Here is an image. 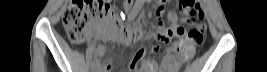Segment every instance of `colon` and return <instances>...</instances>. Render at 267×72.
<instances>
[{
    "label": "colon",
    "instance_id": "5ec220e1",
    "mask_svg": "<svg viewBox=\"0 0 267 72\" xmlns=\"http://www.w3.org/2000/svg\"><path fill=\"white\" fill-rule=\"evenodd\" d=\"M124 4H130L131 0L122 1ZM112 1L108 0H71L65 6L62 12L63 24L67 30L70 40L79 44L82 42L83 35L90 25L91 18L101 17L106 19L108 30H116L117 22L115 12L111 7ZM180 7L186 11L189 16V30L185 31L179 28L181 35H185V40L179 44V53L183 61H189L195 54V49L199 46L205 37L206 27L203 18H197L200 12L199 1L181 0ZM163 7L156 9V16L162 11ZM204 13V12H203ZM197 18V19H196ZM123 36L131 41L136 42L140 38V34L135 30L124 29ZM172 38L169 29H159L153 36L156 42L168 44ZM157 50L159 45L155 46Z\"/></svg>",
    "mask_w": 267,
    "mask_h": 72
}]
</instances>
